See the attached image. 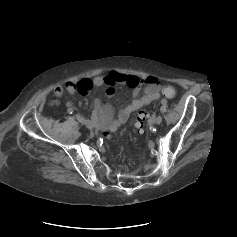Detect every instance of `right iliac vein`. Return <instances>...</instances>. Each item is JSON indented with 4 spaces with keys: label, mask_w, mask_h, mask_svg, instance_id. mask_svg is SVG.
Masks as SVG:
<instances>
[{
    "label": "right iliac vein",
    "mask_w": 237,
    "mask_h": 237,
    "mask_svg": "<svg viewBox=\"0 0 237 237\" xmlns=\"http://www.w3.org/2000/svg\"><path fill=\"white\" fill-rule=\"evenodd\" d=\"M85 125L89 130H92L94 128V124L90 120H87L85 122Z\"/></svg>",
    "instance_id": "63e3f726"
}]
</instances>
